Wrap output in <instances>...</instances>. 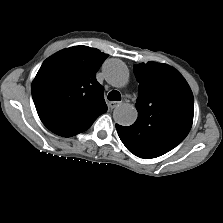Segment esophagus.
<instances>
[{
	"label": "esophagus",
	"mask_w": 223,
	"mask_h": 223,
	"mask_svg": "<svg viewBox=\"0 0 223 223\" xmlns=\"http://www.w3.org/2000/svg\"><path fill=\"white\" fill-rule=\"evenodd\" d=\"M120 104H121V102H118V101H112V102L109 103V107H110L111 109H114V108H116L117 106H119Z\"/></svg>",
	"instance_id": "esophagus-1"
}]
</instances>
